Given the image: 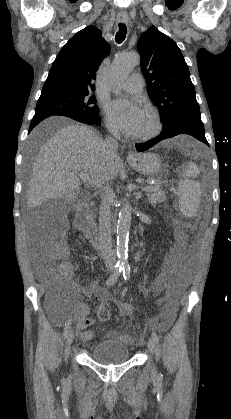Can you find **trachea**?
I'll return each instance as SVG.
<instances>
[{
    "label": "trachea",
    "mask_w": 231,
    "mask_h": 419,
    "mask_svg": "<svg viewBox=\"0 0 231 419\" xmlns=\"http://www.w3.org/2000/svg\"><path fill=\"white\" fill-rule=\"evenodd\" d=\"M127 34V27L125 24L120 23L119 24V31L117 32L116 36H115V40L117 43H121Z\"/></svg>",
    "instance_id": "3493384b"
}]
</instances>
